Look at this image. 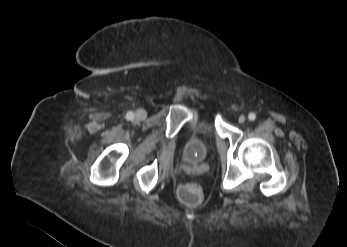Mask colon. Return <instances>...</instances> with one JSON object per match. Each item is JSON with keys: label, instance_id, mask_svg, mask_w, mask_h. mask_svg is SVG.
<instances>
[{"label": "colon", "instance_id": "1", "mask_svg": "<svg viewBox=\"0 0 347 247\" xmlns=\"http://www.w3.org/2000/svg\"><path fill=\"white\" fill-rule=\"evenodd\" d=\"M180 198L187 205H198L203 200V188L197 182H189L181 186Z\"/></svg>", "mask_w": 347, "mask_h": 247}]
</instances>
